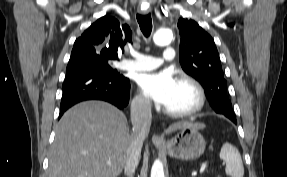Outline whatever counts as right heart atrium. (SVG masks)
I'll return each mask as SVG.
<instances>
[{
	"instance_id": "right-heart-atrium-1",
	"label": "right heart atrium",
	"mask_w": 287,
	"mask_h": 177,
	"mask_svg": "<svg viewBox=\"0 0 287 177\" xmlns=\"http://www.w3.org/2000/svg\"><path fill=\"white\" fill-rule=\"evenodd\" d=\"M133 108L137 113H146L150 109V102L141 94L135 96Z\"/></svg>"
}]
</instances>
